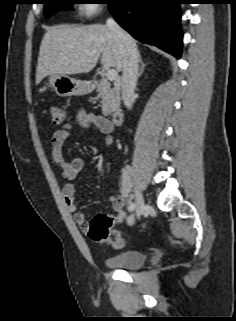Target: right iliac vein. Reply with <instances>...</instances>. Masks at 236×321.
<instances>
[{
	"label": "right iliac vein",
	"instance_id": "1",
	"mask_svg": "<svg viewBox=\"0 0 236 321\" xmlns=\"http://www.w3.org/2000/svg\"><path fill=\"white\" fill-rule=\"evenodd\" d=\"M146 209V204L143 195L140 191L135 194V215L140 217Z\"/></svg>",
	"mask_w": 236,
	"mask_h": 321
}]
</instances>
